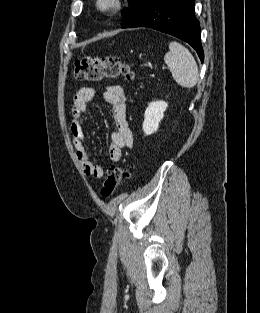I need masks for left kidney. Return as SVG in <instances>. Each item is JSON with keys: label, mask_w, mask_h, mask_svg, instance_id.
<instances>
[{"label": "left kidney", "mask_w": 260, "mask_h": 313, "mask_svg": "<svg viewBox=\"0 0 260 313\" xmlns=\"http://www.w3.org/2000/svg\"><path fill=\"white\" fill-rule=\"evenodd\" d=\"M167 107L168 104L165 101H154L148 105L142 126L146 135H151L158 130L159 123L163 119Z\"/></svg>", "instance_id": "5707ae66"}]
</instances>
